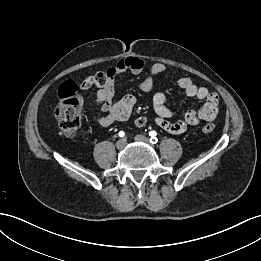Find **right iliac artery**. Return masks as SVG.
Instances as JSON below:
<instances>
[{
	"instance_id": "obj_1",
	"label": "right iliac artery",
	"mask_w": 261,
	"mask_h": 261,
	"mask_svg": "<svg viewBox=\"0 0 261 261\" xmlns=\"http://www.w3.org/2000/svg\"><path fill=\"white\" fill-rule=\"evenodd\" d=\"M124 135H125V133H124L123 131H120V132H119V136H120V137H124Z\"/></svg>"
}]
</instances>
